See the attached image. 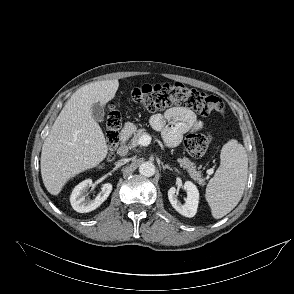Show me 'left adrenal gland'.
Returning <instances> with one entry per match:
<instances>
[{
    "mask_svg": "<svg viewBox=\"0 0 294 294\" xmlns=\"http://www.w3.org/2000/svg\"><path fill=\"white\" fill-rule=\"evenodd\" d=\"M162 168L163 169H169L170 171H173V169L170 166L164 165L163 163H162Z\"/></svg>",
    "mask_w": 294,
    "mask_h": 294,
    "instance_id": "1",
    "label": "left adrenal gland"
}]
</instances>
